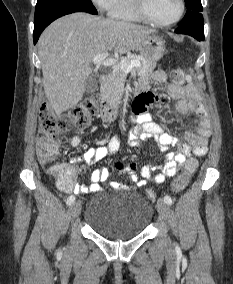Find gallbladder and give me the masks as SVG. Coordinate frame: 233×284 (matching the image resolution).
I'll return each instance as SVG.
<instances>
[{
  "label": "gallbladder",
  "mask_w": 233,
  "mask_h": 284,
  "mask_svg": "<svg viewBox=\"0 0 233 284\" xmlns=\"http://www.w3.org/2000/svg\"><path fill=\"white\" fill-rule=\"evenodd\" d=\"M97 86H98V82H97L96 76L93 75L86 80L85 92L87 94L94 93L97 89Z\"/></svg>",
  "instance_id": "obj_1"
}]
</instances>
